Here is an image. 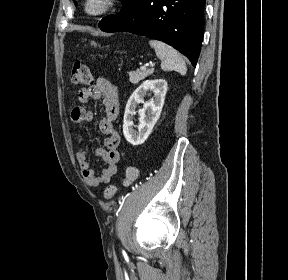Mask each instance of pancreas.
Instances as JSON below:
<instances>
[{
    "label": "pancreas",
    "mask_w": 288,
    "mask_h": 280,
    "mask_svg": "<svg viewBox=\"0 0 288 280\" xmlns=\"http://www.w3.org/2000/svg\"><path fill=\"white\" fill-rule=\"evenodd\" d=\"M154 69H145L141 71H131L129 72V80L132 84H137L139 81L145 79L147 76L151 75Z\"/></svg>",
    "instance_id": "1"
}]
</instances>
